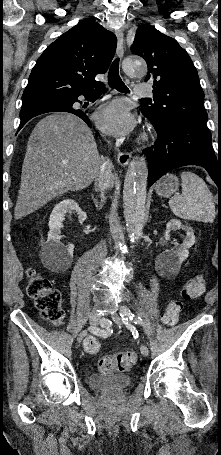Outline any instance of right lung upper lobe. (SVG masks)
Instances as JSON below:
<instances>
[{
  "label": "right lung upper lobe",
  "instance_id": "cb5924a9",
  "mask_svg": "<svg viewBox=\"0 0 221 455\" xmlns=\"http://www.w3.org/2000/svg\"><path fill=\"white\" fill-rule=\"evenodd\" d=\"M116 36L94 21H84L50 44L32 69L22 108L62 101L85 87H95L116 50Z\"/></svg>",
  "mask_w": 221,
  "mask_h": 455
}]
</instances>
